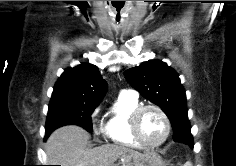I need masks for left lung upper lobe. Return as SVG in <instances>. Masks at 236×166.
<instances>
[{"mask_svg":"<svg viewBox=\"0 0 236 166\" xmlns=\"http://www.w3.org/2000/svg\"><path fill=\"white\" fill-rule=\"evenodd\" d=\"M128 82L146 99L162 108L170 122L181 121L191 129L186 94L178 74L160 60H149L125 71Z\"/></svg>","mask_w":236,"mask_h":166,"instance_id":"1","label":"left lung upper lobe"}]
</instances>
